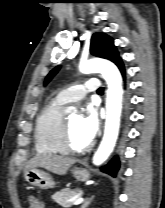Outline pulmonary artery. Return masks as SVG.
I'll return each mask as SVG.
<instances>
[{"label":"pulmonary artery","mask_w":165,"mask_h":208,"mask_svg":"<svg viewBox=\"0 0 165 208\" xmlns=\"http://www.w3.org/2000/svg\"><path fill=\"white\" fill-rule=\"evenodd\" d=\"M100 86L99 79L90 78L83 84H78L59 92L57 100L63 104L74 103L83 99L89 92H97Z\"/></svg>","instance_id":"1"}]
</instances>
